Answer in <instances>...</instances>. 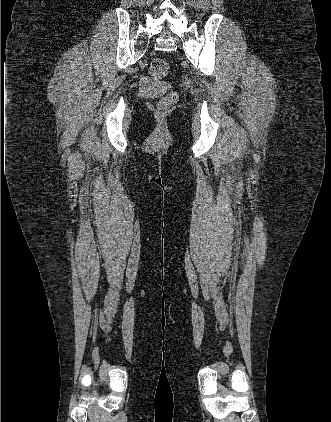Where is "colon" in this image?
I'll return each mask as SVG.
<instances>
[{
    "label": "colon",
    "mask_w": 331,
    "mask_h": 422,
    "mask_svg": "<svg viewBox=\"0 0 331 422\" xmlns=\"http://www.w3.org/2000/svg\"><path fill=\"white\" fill-rule=\"evenodd\" d=\"M168 64L162 59H155L150 65V74L153 77L161 78L164 77L168 72ZM177 96L175 93H168L164 96L156 105V110L158 112L167 111L175 102Z\"/></svg>",
    "instance_id": "obj_1"
}]
</instances>
